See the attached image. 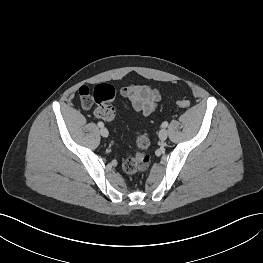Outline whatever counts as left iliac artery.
<instances>
[{
	"label": "left iliac artery",
	"mask_w": 263,
	"mask_h": 263,
	"mask_svg": "<svg viewBox=\"0 0 263 263\" xmlns=\"http://www.w3.org/2000/svg\"><path fill=\"white\" fill-rule=\"evenodd\" d=\"M167 126H168V122L165 121L162 123V127L166 128Z\"/></svg>",
	"instance_id": "1"
}]
</instances>
